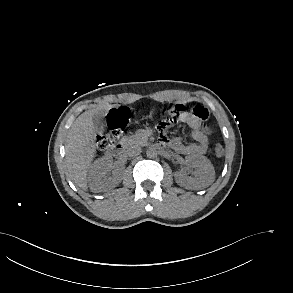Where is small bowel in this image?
<instances>
[{
    "label": "small bowel",
    "mask_w": 293,
    "mask_h": 293,
    "mask_svg": "<svg viewBox=\"0 0 293 293\" xmlns=\"http://www.w3.org/2000/svg\"><path fill=\"white\" fill-rule=\"evenodd\" d=\"M179 122L188 124L192 129V138L195 142L184 145L178 138L161 139L174 151L185 155L204 154L209 146L210 131L203 128L202 122L192 113L184 112L178 119Z\"/></svg>",
    "instance_id": "obj_1"
}]
</instances>
